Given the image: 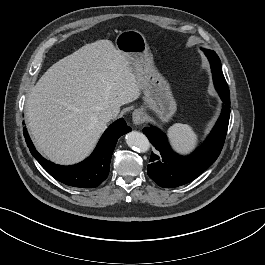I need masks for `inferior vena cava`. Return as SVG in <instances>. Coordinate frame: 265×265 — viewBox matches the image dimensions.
I'll list each match as a JSON object with an SVG mask.
<instances>
[{"label": "inferior vena cava", "mask_w": 265, "mask_h": 265, "mask_svg": "<svg viewBox=\"0 0 265 265\" xmlns=\"http://www.w3.org/2000/svg\"><path fill=\"white\" fill-rule=\"evenodd\" d=\"M114 117H115V114L110 109H107V110L102 111L100 113V115H99V119L102 120V121H104V122H109Z\"/></svg>", "instance_id": "1"}]
</instances>
